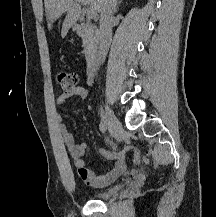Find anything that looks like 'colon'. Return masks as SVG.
<instances>
[{
	"label": "colon",
	"instance_id": "obj_1",
	"mask_svg": "<svg viewBox=\"0 0 216 217\" xmlns=\"http://www.w3.org/2000/svg\"><path fill=\"white\" fill-rule=\"evenodd\" d=\"M56 81L64 90H72L77 86L78 75L75 72L59 70L56 73Z\"/></svg>",
	"mask_w": 216,
	"mask_h": 217
}]
</instances>
